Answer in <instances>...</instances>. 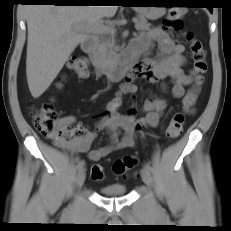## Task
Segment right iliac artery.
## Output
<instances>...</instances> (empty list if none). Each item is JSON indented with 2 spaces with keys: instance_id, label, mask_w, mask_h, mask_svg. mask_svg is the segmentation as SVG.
Masks as SVG:
<instances>
[{
  "instance_id": "obj_1",
  "label": "right iliac artery",
  "mask_w": 231,
  "mask_h": 231,
  "mask_svg": "<svg viewBox=\"0 0 231 231\" xmlns=\"http://www.w3.org/2000/svg\"><path fill=\"white\" fill-rule=\"evenodd\" d=\"M83 165L84 164L82 162L78 163L76 169L80 171L83 168Z\"/></svg>"
}]
</instances>
